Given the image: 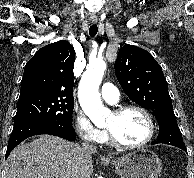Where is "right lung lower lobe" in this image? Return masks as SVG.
<instances>
[{"label":"right lung lower lobe","instance_id":"98d812e1","mask_svg":"<svg viewBox=\"0 0 194 178\" xmlns=\"http://www.w3.org/2000/svg\"><path fill=\"white\" fill-rule=\"evenodd\" d=\"M40 134L54 135L69 141H74L76 139L73 127H61L42 121L16 123L10 135L5 157L7 158L10 152L26 138Z\"/></svg>","mask_w":194,"mask_h":178}]
</instances>
